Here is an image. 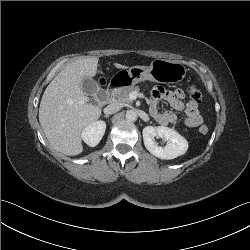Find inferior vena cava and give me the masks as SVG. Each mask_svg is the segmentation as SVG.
Returning a JSON list of instances; mask_svg holds the SVG:
<instances>
[{
  "instance_id": "1",
  "label": "inferior vena cava",
  "mask_w": 250,
  "mask_h": 250,
  "mask_svg": "<svg viewBox=\"0 0 250 250\" xmlns=\"http://www.w3.org/2000/svg\"><path fill=\"white\" fill-rule=\"evenodd\" d=\"M122 108V105L120 103H111L107 107L104 108V113L109 115V114H114L118 112Z\"/></svg>"
}]
</instances>
